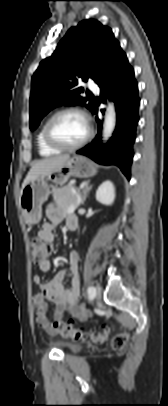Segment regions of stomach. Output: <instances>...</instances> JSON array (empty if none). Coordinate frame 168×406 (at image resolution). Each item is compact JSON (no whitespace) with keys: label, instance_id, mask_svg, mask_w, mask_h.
<instances>
[{"label":"stomach","instance_id":"0dacf381","mask_svg":"<svg viewBox=\"0 0 168 406\" xmlns=\"http://www.w3.org/2000/svg\"><path fill=\"white\" fill-rule=\"evenodd\" d=\"M96 173L97 167L89 159L83 156H73L60 170L28 183L20 194V209L25 222L32 225L41 220L42 204L51 193L48 185L49 181L62 185L71 176L89 178Z\"/></svg>","mask_w":168,"mask_h":406}]
</instances>
